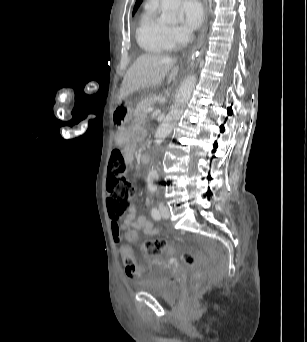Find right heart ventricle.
Here are the masks:
<instances>
[{"instance_id": "1", "label": "right heart ventricle", "mask_w": 307, "mask_h": 342, "mask_svg": "<svg viewBox=\"0 0 307 342\" xmlns=\"http://www.w3.org/2000/svg\"><path fill=\"white\" fill-rule=\"evenodd\" d=\"M150 32H138L136 35L137 44L144 55H155L167 50V44L161 37L158 30V23L153 16L149 19Z\"/></svg>"}]
</instances>
